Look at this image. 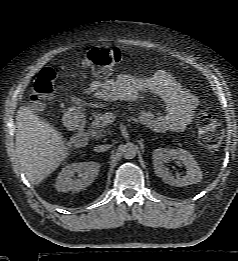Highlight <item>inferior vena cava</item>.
Instances as JSON below:
<instances>
[{
	"label": "inferior vena cava",
	"instance_id": "602c4592",
	"mask_svg": "<svg viewBox=\"0 0 238 261\" xmlns=\"http://www.w3.org/2000/svg\"><path fill=\"white\" fill-rule=\"evenodd\" d=\"M110 148V145H98L97 147H95V151L96 152H102V151H106Z\"/></svg>",
	"mask_w": 238,
	"mask_h": 261
}]
</instances>
